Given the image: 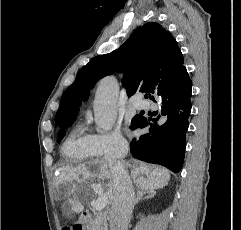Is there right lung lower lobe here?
Masks as SVG:
<instances>
[{"mask_svg":"<svg viewBox=\"0 0 241 230\" xmlns=\"http://www.w3.org/2000/svg\"><path fill=\"white\" fill-rule=\"evenodd\" d=\"M192 82L182 65L165 76L149 98L159 96L161 111L158 118L140 117L134 128H146L130 143V152L139 160L156 163L179 172L184 160L186 132L191 112ZM162 120L158 122L159 117Z\"/></svg>","mask_w":241,"mask_h":230,"instance_id":"obj_1","label":"right lung lower lobe"}]
</instances>
